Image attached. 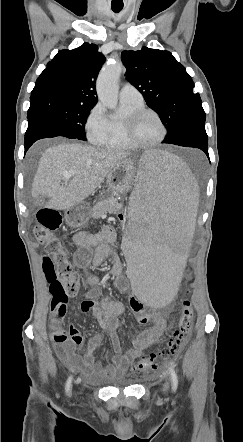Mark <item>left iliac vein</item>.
<instances>
[{"mask_svg": "<svg viewBox=\"0 0 243 442\" xmlns=\"http://www.w3.org/2000/svg\"><path fill=\"white\" fill-rule=\"evenodd\" d=\"M169 387V382L166 381V383L164 384L163 390L166 392L168 390Z\"/></svg>", "mask_w": 243, "mask_h": 442, "instance_id": "obj_1", "label": "left iliac vein"}]
</instances>
